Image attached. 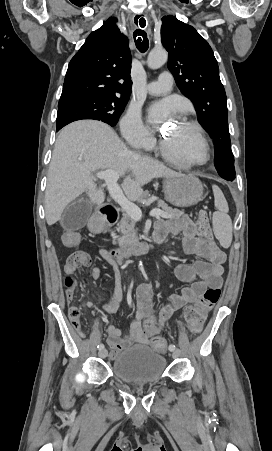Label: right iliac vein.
<instances>
[{"label": "right iliac vein", "instance_id": "1", "mask_svg": "<svg viewBox=\"0 0 272 451\" xmlns=\"http://www.w3.org/2000/svg\"><path fill=\"white\" fill-rule=\"evenodd\" d=\"M107 350L106 349H101L100 351H99V356L101 357V358H105L106 356H107Z\"/></svg>", "mask_w": 272, "mask_h": 451}]
</instances>
